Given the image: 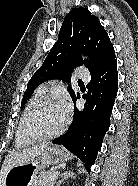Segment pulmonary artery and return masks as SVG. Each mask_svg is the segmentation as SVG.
<instances>
[{"instance_id": "1", "label": "pulmonary artery", "mask_w": 138, "mask_h": 186, "mask_svg": "<svg viewBox=\"0 0 138 186\" xmlns=\"http://www.w3.org/2000/svg\"><path fill=\"white\" fill-rule=\"evenodd\" d=\"M75 76L82 79V80L87 81L89 79V72L86 68L80 66V67L76 68ZM42 87L44 88L45 91H47L49 85L46 84V85H43Z\"/></svg>"}]
</instances>
